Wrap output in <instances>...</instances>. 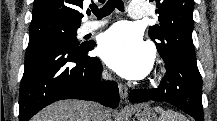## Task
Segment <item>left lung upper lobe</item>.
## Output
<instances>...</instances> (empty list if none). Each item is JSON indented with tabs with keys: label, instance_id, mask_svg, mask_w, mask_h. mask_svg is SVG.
<instances>
[{
	"label": "left lung upper lobe",
	"instance_id": "obj_1",
	"mask_svg": "<svg viewBox=\"0 0 217 121\" xmlns=\"http://www.w3.org/2000/svg\"><path fill=\"white\" fill-rule=\"evenodd\" d=\"M155 1L159 24L150 26L148 34L161 57L181 54L196 59L192 41L194 0Z\"/></svg>",
	"mask_w": 217,
	"mask_h": 121
}]
</instances>
